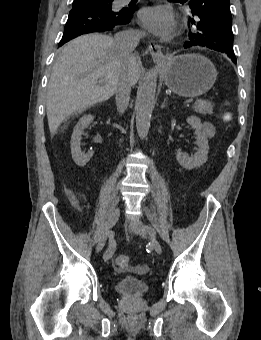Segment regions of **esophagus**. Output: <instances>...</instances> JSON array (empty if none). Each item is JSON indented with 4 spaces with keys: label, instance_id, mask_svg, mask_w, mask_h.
<instances>
[{
    "label": "esophagus",
    "instance_id": "1",
    "mask_svg": "<svg viewBox=\"0 0 261 340\" xmlns=\"http://www.w3.org/2000/svg\"><path fill=\"white\" fill-rule=\"evenodd\" d=\"M148 51L150 52L154 61H161L164 59V55L162 53V49L160 45L151 44L148 47Z\"/></svg>",
    "mask_w": 261,
    "mask_h": 340
}]
</instances>
